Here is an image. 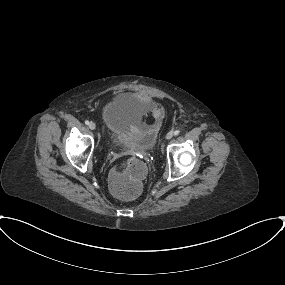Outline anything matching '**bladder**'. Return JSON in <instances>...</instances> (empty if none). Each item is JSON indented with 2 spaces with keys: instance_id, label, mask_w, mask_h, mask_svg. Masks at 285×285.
<instances>
[{
  "instance_id": "obj_1",
  "label": "bladder",
  "mask_w": 285,
  "mask_h": 285,
  "mask_svg": "<svg viewBox=\"0 0 285 285\" xmlns=\"http://www.w3.org/2000/svg\"><path fill=\"white\" fill-rule=\"evenodd\" d=\"M119 102L131 104L134 99L129 94H122L113 100L111 106H116ZM123 142L127 148L138 149L140 151H148L154 148L157 133L152 125L136 124L132 129L121 132Z\"/></svg>"
}]
</instances>
